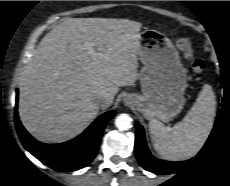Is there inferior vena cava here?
<instances>
[{
	"label": "inferior vena cava",
	"instance_id": "inferior-vena-cava-1",
	"mask_svg": "<svg viewBox=\"0 0 230 186\" xmlns=\"http://www.w3.org/2000/svg\"><path fill=\"white\" fill-rule=\"evenodd\" d=\"M96 101L100 105H104L110 102L106 96H99Z\"/></svg>",
	"mask_w": 230,
	"mask_h": 186
}]
</instances>
